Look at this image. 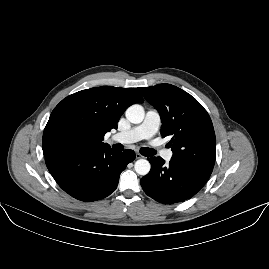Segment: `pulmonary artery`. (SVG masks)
<instances>
[{"label":"pulmonary artery","instance_id":"1","mask_svg":"<svg viewBox=\"0 0 269 269\" xmlns=\"http://www.w3.org/2000/svg\"><path fill=\"white\" fill-rule=\"evenodd\" d=\"M160 124L161 118L159 112L155 109H149L139 126L133 127L126 132L113 135L111 137V142L128 145L139 142L141 140H150L158 132ZM171 157V150L164 151L163 158L166 161H169Z\"/></svg>","mask_w":269,"mask_h":269}]
</instances>
